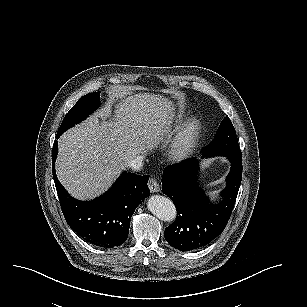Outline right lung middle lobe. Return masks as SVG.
Masks as SVG:
<instances>
[{"label": "right lung middle lobe", "instance_id": "dd1d6c3e", "mask_svg": "<svg viewBox=\"0 0 307 307\" xmlns=\"http://www.w3.org/2000/svg\"><path fill=\"white\" fill-rule=\"evenodd\" d=\"M99 98L100 92L90 93L80 98L63 119L58 129L57 137L92 113L99 105Z\"/></svg>", "mask_w": 307, "mask_h": 307}]
</instances>
